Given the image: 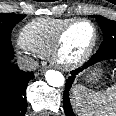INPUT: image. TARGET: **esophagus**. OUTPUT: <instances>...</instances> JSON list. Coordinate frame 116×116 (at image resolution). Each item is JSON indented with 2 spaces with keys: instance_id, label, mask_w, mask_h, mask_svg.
<instances>
[{
  "instance_id": "34e87169",
  "label": "esophagus",
  "mask_w": 116,
  "mask_h": 116,
  "mask_svg": "<svg viewBox=\"0 0 116 116\" xmlns=\"http://www.w3.org/2000/svg\"><path fill=\"white\" fill-rule=\"evenodd\" d=\"M45 71H46V67H42L37 71L36 75L37 76L42 75Z\"/></svg>"
}]
</instances>
